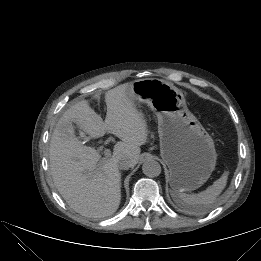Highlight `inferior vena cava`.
Returning <instances> with one entry per match:
<instances>
[{"label": "inferior vena cava", "mask_w": 261, "mask_h": 261, "mask_svg": "<svg viewBox=\"0 0 261 261\" xmlns=\"http://www.w3.org/2000/svg\"><path fill=\"white\" fill-rule=\"evenodd\" d=\"M130 167H132V163L129 159L127 158H122L119 160L118 162V168L121 169V170H127L129 169Z\"/></svg>", "instance_id": "inferior-vena-cava-1"}]
</instances>
